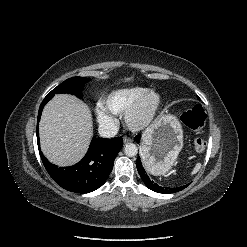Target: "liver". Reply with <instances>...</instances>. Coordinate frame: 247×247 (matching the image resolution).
I'll use <instances>...</instances> for the list:
<instances>
[{
  "instance_id": "liver-1",
  "label": "liver",
  "mask_w": 247,
  "mask_h": 247,
  "mask_svg": "<svg viewBox=\"0 0 247 247\" xmlns=\"http://www.w3.org/2000/svg\"><path fill=\"white\" fill-rule=\"evenodd\" d=\"M39 126L41 150L58 166L80 161L93 136L89 107L68 94L56 95L45 106Z\"/></svg>"
}]
</instances>
